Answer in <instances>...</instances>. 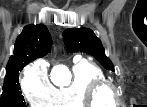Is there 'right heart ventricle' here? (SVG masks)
Listing matches in <instances>:
<instances>
[{"mask_svg":"<svg viewBox=\"0 0 147 107\" xmlns=\"http://www.w3.org/2000/svg\"><path fill=\"white\" fill-rule=\"evenodd\" d=\"M72 71L73 76L70 83L54 90L48 106L87 107L85 104L87 87L96 80L104 79L102 70L88 60L76 59Z\"/></svg>","mask_w":147,"mask_h":107,"instance_id":"1","label":"right heart ventricle"}]
</instances>
